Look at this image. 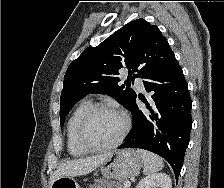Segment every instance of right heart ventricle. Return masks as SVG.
I'll list each match as a JSON object with an SVG mask.
<instances>
[{
    "label": "right heart ventricle",
    "mask_w": 224,
    "mask_h": 188,
    "mask_svg": "<svg viewBox=\"0 0 224 188\" xmlns=\"http://www.w3.org/2000/svg\"><path fill=\"white\" fill-rule=\"evenodd\" d=\"M89 99L82 100L71 113L66 127L67 149L70 155L80 157L85 155L88 150L84 149L77 140V128L83 115L92 107Z\"/></svg>",
    "instance_id": "1"
}]
</instances>
